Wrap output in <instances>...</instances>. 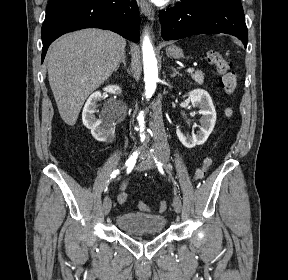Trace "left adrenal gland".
Segmentation results:
<instances>
[{"label": "left adrenal gland", "mask_w": 288, "mask_h": 280, "mask_svg": "<svg viewBox=\"0 0 288 280\" xmlns=\"http://www.w3.org/2000/svg\"><path fill=\"white\" fill-rule=\"evenodd\" d=\"M171 69L173 70V74L171 75V77H175L176 75L181 76V74L174 67H171Z\"/></svg>", "instance_id": "1"}]
</instances>
